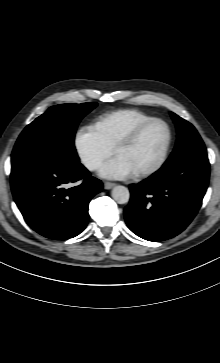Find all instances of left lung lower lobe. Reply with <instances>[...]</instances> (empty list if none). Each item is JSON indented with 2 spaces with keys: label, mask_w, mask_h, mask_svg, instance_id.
<instances>
[{
  "label": "left lung lower lobe",
  "mask_w": 220,
  "mask_h": 363,
  "mask_svg": "<svg viewBox=\"0 0 220 363\" xmlns=\"http://www.w3.org/2000/svg\"><path fill=\"white\" fill-rule=\"evenodd\" d=\"M206 152H193L164 165L139 184L130 185L124 210L130 230L148 241H163L182 232L198 212L208 187Z\"/></svg>",
  "instance_id": "0a47b994"
}]
</instances>
